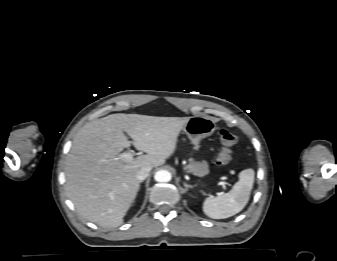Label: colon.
I'll use <instances>...</instances> for the list:
<instances>
[{
    "label": "colon",
    "mask_w": 337,
    "mask_h": 261,
    "mask_svg": "<svg viewBox=\"0 0 337 261\" xmlns=\"http://www.w3.org/2000/svg\"><path fill=\"white\" fill-rule=\"evenodd\" d=\"M219 141L221 148L217 155L216 162L219 166L226 167L232 160L233 148L237 142V138L233 133L227 130H221L219 132Z\"/></svg>",
    "instance_id": "1"
}]
</instances>
